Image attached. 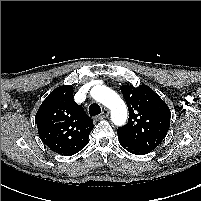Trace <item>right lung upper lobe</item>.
<instances>
[{
  "label": "right lung upper lobe",
  "instance_id": "obj_1",
  "mask_svg": "<svg viewBox=\"0 0 201 201\" xmlns=\"http://www.w3.org/2000/svg\"><path fill=\"white\" fill-rule=\"evenodd\" d=\"M35 120L43 143L65 156L82 150L94 127L92 119L73 100L71 85L53 90L39 107Z\"/></svg>",
  "mask_w": 201,
  "mask_h": 201
}]
</instances>
